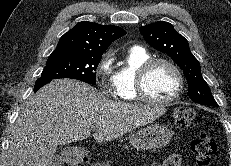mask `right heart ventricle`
Wrapping results in <instances>:
<instances>
[{
	"label": "right heart ventricle",
	"instance_id": "1",
	"mask_svg": "<svg viewBox=\"0 0 231 166\" xmlns=\"http://www.w3.org/2000/svg\"><path fill=\"white\" fill-rule=\"evenodd\" d=\"M149 53L139 47L134 46L128 49L124 61L116 71V95L121 101L138 100L136 93V75L138 68L145 61L149 60Z\"/></svg>",
	"mask_w": 231,
	"mask_h": 166
}]
</instances>
